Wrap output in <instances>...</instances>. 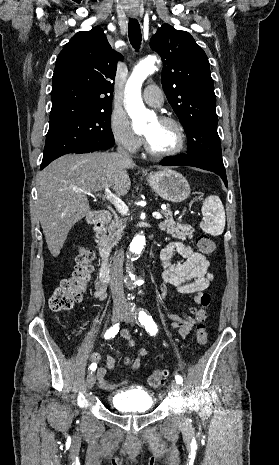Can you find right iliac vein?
<instances>
[{
    "instance_id": "1",
    "label": "right iliac vein",
    "mask_w": 279,
    "mask_h": 465,
    "mask_svg": "<svg viewBox=\"0 0 279 465\" xmlns=\"http://www.w3.org/2000/svg\"><path fill=\"white\" fill-rule=\"evenodd\" d=\"M123 314H124V310L122 308H119V307L114 308L112 311V315H111L112 323L118 322ZM95 382H96L95 373L94 372L89 373V375L87 376L88 388L91 389L95 385Z\"/></svg>"
}]
</instances>
